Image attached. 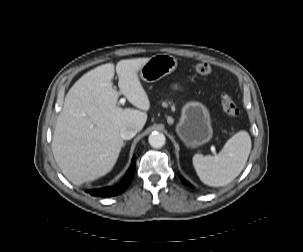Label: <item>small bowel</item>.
I'll use <instances>...</instances> for the list:
<instances>
[{
  "instance_id": "1",
  "label": "small bowel",
  "mask_w": 303,
  "mask_h": 252,
  "mask_svg": "<svg viewBox=\"0 0 303 252\" xmlns=\"http://www.w3.org/2000/svg\"><path fill=\"white\" fill-rule=\"evenodd\" d=\"M172 89H173L174 91L179 92V91H183V90H184V87L181 86V85H179V84H174V85H172Z\"/></svg>"
}]
</instances>
